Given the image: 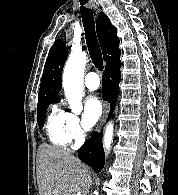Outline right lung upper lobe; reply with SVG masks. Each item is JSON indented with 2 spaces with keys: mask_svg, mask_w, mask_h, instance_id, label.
I'll list each match as a JSON object with an SVG mask.
<instances>
[{
  "mask_svg": "<svg viewBox=\"0 0 178 195\" xmlns=\"http://www.w3.org/2000/svg\"><path fill=\"white\" fill-rule=\"evenodd\" d=\"M96 30L102 48L105 69L121 64L119 38L116 28L101 12L97 18ZM67 48L62 40H56L51 47L44 66L38 96V105L52 101L62 89V70L67 58Z\"/></svg>",
  "mask_w": 178,
  "mask_h": 195,
  "instance_id": "cb5924a9",
  "label": "right lung upper lobe"
}]
</instances>
